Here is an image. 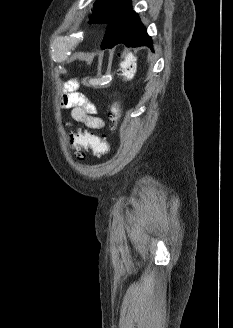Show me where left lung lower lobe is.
<instances>
[{"instance_id":"obj_1","label":"left lung lower lobe","mask_w":233,"mask_h":328,"mask_svg":"<svg viewBox=\"0 0 233 328\" xmlns=\"http://www.w3.org/2000/svg\"><path fill=\"white\" fill-rule=\"evenodd\" d=\"M124 43L128 47L146 45L152 48V40L139 16L131 9V2L109 24L102 40V49Z\"/></svg>"}]
</instances>
